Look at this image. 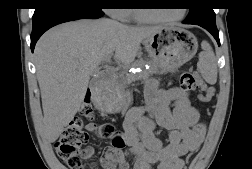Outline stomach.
<instances>
[{"label":"stomach","mask_w":252,"mask_h":169,"mask_svg":"<svg viewBox=\"0 0 252 169\" xmlns=\"http://www.w3.org/2000/svg\"><path fill=\"white\" fill-rule=\"evenodd\" d=\"M146 51L161 73L174 72L197 52L196 37L186 29L165 26L143 40ZM126 103L122 88L110 87L101 98V108L110 113L120 112Z\"/></svg>","instance_id":"1"}]
</instances>
